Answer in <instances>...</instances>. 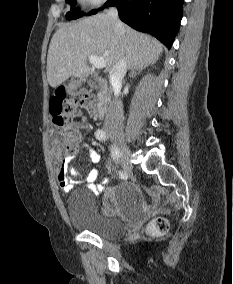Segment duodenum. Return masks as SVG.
Listing matches in <instances>:
<instances>
[{
  "label": "duodenum",
  "instance_id": "410a0bca",
  "mask_svg": "<svg viewBox=\"0 0 233 284\" xmlns=\"http://www.w3.org/2000/svg\"><path fill=\"white\" fill-rule=\"evenodd\" d=\"M98 82L100 85V90L98 92V109L96 112V117L101 119L104 117L108 109L109 91L104 79L100 78Z\"/></svg>",
  "mask_w": 233,
  "mask_h": 284
}]
</instances>
